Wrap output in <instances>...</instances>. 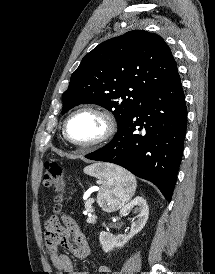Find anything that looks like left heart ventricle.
<instances>
[{"label": "left heart ventricle", "instance_id": "left-heart-ventricle-1", "mask_svg": "<svg viewBox=\"0 0 215 274\" xmlns=\"http://www.w3.org/2000/svg\"><path fill=\"white\" fill-rule=\"evenodd\" d=\"M103 131V121L89 112L75 115L68 124L69 137L79 143L90 142L98 138Z\"/></svg>", "mask_w": 215, "mask_h": 274}]
</instances>
